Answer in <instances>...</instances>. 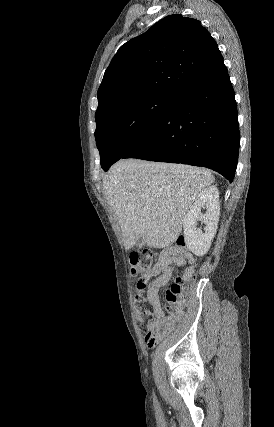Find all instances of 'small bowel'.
<instances>
[{
  "label": "small bowel",
  "instance_id": "1",
  "mask_svg": "<svg viewBox=\"0 0 274 427\" xmlns=\"http://www.w3.org/2000/svg\"><path fill=\"white\" fill-rule=\"evenodd\" d=\"M195 256L192 252L181 247L172 246L161 251L157 262L151 267H144L141 280L146 283L147 298L153 305V321L149 335H146V343L152 348L166 336H168L184 314L181 302L174 303L164 312L158 292L160 288L169 283L172 277V265L186 266L183 279H189L195 273Z\"/></svg>",
  "mask_w": 274,
  "mask_h": 427
}]
</instances>
